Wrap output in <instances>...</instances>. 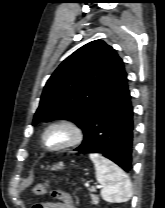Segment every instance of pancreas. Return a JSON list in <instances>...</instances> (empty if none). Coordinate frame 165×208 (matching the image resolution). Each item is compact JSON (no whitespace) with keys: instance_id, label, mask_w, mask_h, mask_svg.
Instances as JSON below:
<instances>
[{"instance_id":"obj_1","label":"pancreas","mask_w":165,"mask_h":208,"mask_svg":"<svg viewBox=\"0 0 165 208\" xmlns=\"http://www.w3.org/2000/svg\"><path fill=\"white\" fill-rule=\"evenodd\" d=\"M91 192H95V189L92 188ZM91 198H92V204H98L99 203V198L97 195L91 194Z\"/></svg>"}]
</instances>
